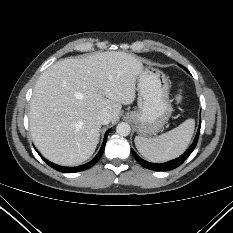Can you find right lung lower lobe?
<instances>
[{
	"mask_svg": "<svg viewBox=\"0 0 233 233\" xmlns=\"http://www.w3.org/2000/svg\"><path fill=\"white\" fill-rule=\"evenodd\" d=\"M110 132V129L106 131L105 133V136H104V140H103V143H102V146L98 152V154L88 163L84 164V165H81V166H77V167H64V166H59V165H56L46 159H44L40 153L38 152V154L41 156V158L49 165L51 166L52 168H54L55 170L57 171H60V172H63V173H74V172H78V171H83V170H86L90 167H92L93 165H95V163L100 159V157L102 156L103 152H104V149H105V145H106V141H107V136H108V133Z\"/></svg>",
	"mask_w": 233,
	"mask_h": 233,
	"instance_id": "98d812e1",
	"label": "right lung lower lobe"
}]
</instances>
